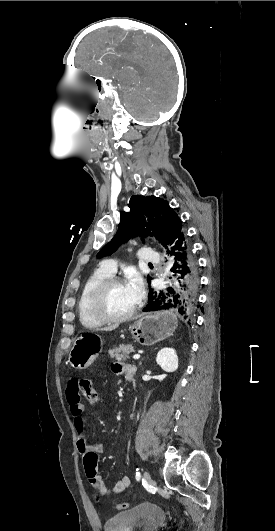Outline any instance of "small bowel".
Instances as JSON below:
<instances>
[{"label":"small bowel","instance_id":"small-bowel-1","mask_svg":"<svg viewBox=\"0 0 275 531\" xmlns=\"http://www.w3.org/2000/svg\"><path fill=\"white\" fill-rule=\"evenodd\" d=\"M113 369L117 373L135 374V367L129 364L115 363ZM68 382L64 385V392L69 404L73 426L78 434L77 448L83 459L85 474L89 481L104 495L111 493H121L130 485V479L127 476L121 477L110 490L104 479L97 473V457L103 453L104 445L102 443L88 444L86 442L85 416L84 407L80 403L78 394L81 392V375L79 373H70Z\"/></svg>","mask_w":275,"mask_h":531}]
</instances>
